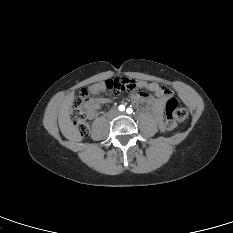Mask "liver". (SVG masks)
<instances>
[{"label": "liver", "mask_w": 233, "mask_h": 233, "mask_svg": "<svg viewBox=\"0 0 233 233\" xmlns=\"http://www.w3.org/2000/svg\"><path fill=\"white\" fill-rule=\"evenodd\" d=\"M74 93L68 94L59 106L58 125L66 138H72L76 129L70 119V108L73 104Z\"/></svg>", "instance_id": "liver-1"}]
</instances>
